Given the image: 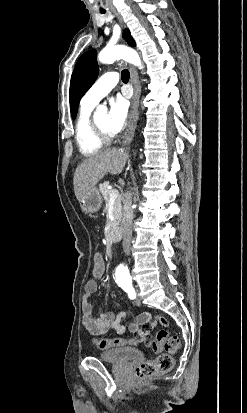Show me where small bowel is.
<instances>
[{
	"mask_svg": "<svg viewBox=\"0 0 247 413\" xmlns=\"http://www.w3.org/2000/svg\"><path fill=\"white\" fill-rule=\"evenodd\" d=\"M98 256V254L96 255ZM98 288L97 282H86L84 285V293L82 297V323L83 326L94 336L102 335L109 330L123 334L130 332L137 337V347L139 349H147L153 337L151 330L153 324H164L166 318L164 315H151L149 312H143L137 315L133 322L129 325H124L122 322L126 318L125 312H104L96 313L97 303L91 300V297L96 293ZM150 316H159V323H150ZM166 329L170 328L169 324L165 325Z\"/></svg>",
	"mask_w": 247,
	"mask_h": 413,
	"instance_id": "obj_1",
	"label": "small bowel"
}]
</instances>
